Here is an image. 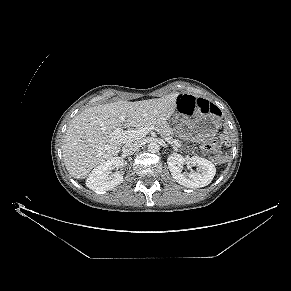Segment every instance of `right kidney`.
<instances>
[{"label": "right kidney", "mask_w": 291, "mask_h": 291, "mask_svg": "<svg viewBox=\"0 0 291 291\" xmlns=\"http://www.w3.org/2000/svg\"><path fill=\"white\" fill-rule=\"evenodd\" d=\"M124 166V161L120 157H113L104 163L95 167L89 174L86 185L95 191H107L123 182V176L120 173L110 175L113 169H119Z\"/></svg>", "instance_id": "obj_1"}]
</instances>
